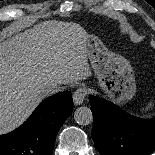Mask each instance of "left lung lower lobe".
Masks as SVG:
<instances>
[{
  "mask_svg": "<svg viewBox=\"0 0 155 155\" xmlns=\"http://www.w3.org/2000/svg\"><path fill=\"white\" fill-rule=\"evenodd\" d=\"M91 136L101 155H148L155 150V118L129 115L115 104L90 96Z\"/></svg>",
  "mask_w": 155,
  "mask_h": 155,
  "instance_id": "1",
  "label": "left lung lower lobe"
}]
</instances>
